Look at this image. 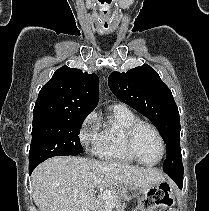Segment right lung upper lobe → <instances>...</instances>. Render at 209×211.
<instances>
[{"label":"right lung upper lobe","instance_id":"obj_1","mask_svg":"<svg viewBox=\"0 0 209 211\" xmlns=\"http://www.w3.org/2000/svg\"><path fill=\"white\" fill-rule=\"evenodd\" d=\"M99 78L63 66L39 92L33 117L88 115L98 103Z\"/></svg>","mask_w":209,"mask_h":211}]
</instances>
